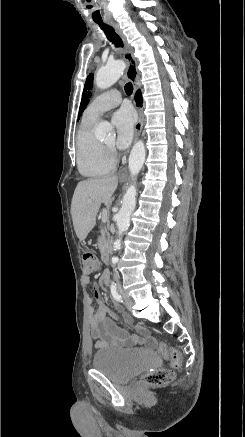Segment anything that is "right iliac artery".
Wrapping results in <instances>:
<instances>
[{
    "label": "right iliac artery",
    "instance_id": "right-iliac-artery-1",
    "mask_svg": "<svg viewBox=\"0 0 245 437\" xmlns=\"http://www.w3.org/2000/svg\"><path fill=\"white\" fill-rule=\"evenodd\" d=\"M111 294L113 298L118 302H123L121 295L118 293L116 286L113 284L111 286Z\"/></svg>",
    "mask_w": 245,
    "mask_h": 437
}]
</instances>
